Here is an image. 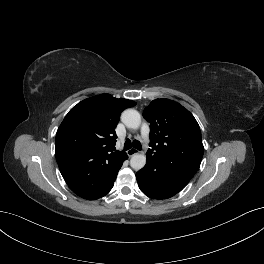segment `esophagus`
Masks as SVG:
<instances>
[{"instance_id":"esophagus-1","label":"esophagus","mask_w":264,"mask_h":264,"mask_svg":"<svg viewBox=\"0 0 264 264\" xmlns=\"http://www.w3.org/2000/svg\"><path fill=\"white\" fill-rule=\"evenodd\" d=\"M138 150L137 149H135V148H130L128 151H127V154H128V156L129 157H131V156H134V155H136V154H138Z\"/></svg>"}]
</instances>
